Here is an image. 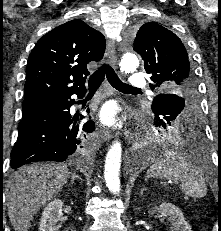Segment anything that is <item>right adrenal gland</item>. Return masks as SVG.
Masks as SVG:
<instances>
[{
  "label": "right adrenal gland",
  "instance_id": "1",
  "mask_svg": "<svg viewBox=\"0 0 221 231\" xmlns=\"http://www.w3.org/2000/svg\"><path fill=\"white\" fill-rule=\"evenodd\" d=\"M71 175H72V177H71V183L72 184L74 183V181L76 179H78V180H80L82 182V178L79 175H77L75 172L71 173Z\"/></svg>",
  "mask_w": 221,
  "mask_h": 231
}]
</instances>
